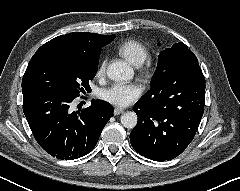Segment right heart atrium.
Returning <instances> with one entry per match:
<instances>
[{
	"label": "right heart atrium",
	"mask_w": 240,
	"mask_h": 191,
	"mask_svg": "<svg viewBox=\"0 0 240 191\" xmlns=\"http://www.w3.org/2000/svg\"><path fill=\"white\" fill-rule=\"evenodd\" d=\"M105 68H106V60H102L99 65H98V68H97V71H96V75L99 77V76H102L105 72Z\"/></svg>",
	"instance_id": "1"
}]
</instances>
